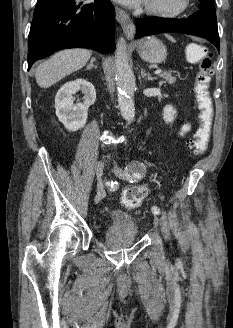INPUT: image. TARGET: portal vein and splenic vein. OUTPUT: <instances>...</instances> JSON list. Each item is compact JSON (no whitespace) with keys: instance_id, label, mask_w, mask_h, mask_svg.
Instances as JSON below:
<instances>
[{"instance_id":"portal-vein-and-splenic-vein-1","label":"portal vein and splenic vein","mask_w":233,"mask_h":328,"mask_svg":"<svg viewBox=\"0 0 233 328\" xmlns=\"http://www.w3.org/2000/svg\"><path fill=\"white\" fill-rule=\"evenodd\" d=\"M155 74H161L162 73V70H160V69H158V70H156L155 72H154Z\"/></svg>"}]
</instances>
